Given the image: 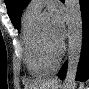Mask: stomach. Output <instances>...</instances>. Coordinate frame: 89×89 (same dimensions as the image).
Returning <instances> with one entry per match:
<instances>
[{"mask_svg":"<svg viewBox=\"0 0 89 89\" xmlns=\"http://www.w3.org/2000/svg\"><path fill=\"white\" fill-rule=\"evenodd\" d=\"M52 89H60V85H56V86H54V88H52Z\"/></svg>","mask_w":89,"mask_h":89,"instance_id":"stomach-1","label":"stomach"}]
</instances>
